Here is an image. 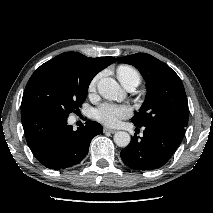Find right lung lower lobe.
Segmentation results:
<instances>
[{
	"instance_id": "1",
	"label": "right lung lower lobe",
	"mask_w": 213,
	"mask_h": 213,
	"mask_svg": "<svg viewBox=\"0 0 213 213\" xmlns=\"http://www.w3.org/2000/svg\"><path fill=\"white\" fill-rule=\"evenodd\" d=\"M21 116L28 146L36 159L50 169H65L82 161L92 138L103 133L95 121H87L74 131L67 125V118L38 106H23Z\"/></svg>"
}]
</instances>
